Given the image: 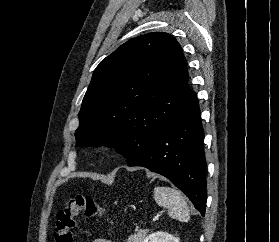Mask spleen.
<instances>
[{
  "label": "spleen",
  "mask_w": 279,
  "mask_h": 242,
  "mask_svg": "<svg viewBox=\"0 0 279 242\" xmlns=\"http://www.w3.org/2000/svg\"><path fill=\"white\" fill-rule=\"evenodd\" d=\"M156 203L168 210L170 217L182 222L190 219L188 204L180 191L164 186H157L153 191Z\"/></svg>",
  "instance_id": "3e777b00"
}]
</instances>
